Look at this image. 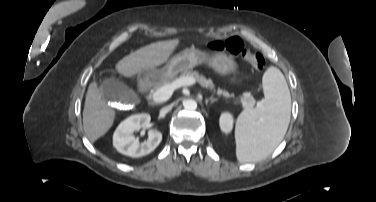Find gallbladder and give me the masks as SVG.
Here are the masks:
<instances>
[{
	"label": "gallbladder",
	"mask_w": 376,
	"mask_h": 202,
	"mask_svg": "<svg viewBox=\"0 0 376 202\" xmlns=\"http://www.w3.org/2000/svg\"><path fill=\"white\" fill-rule=\"evenodd\" d=\"M102 96L114 103H130L136 100L137 95L126 84L116 79H105L101 84Z\"/></svg>",
	"instance_id": "bac80fb5"
}]
</instances>
